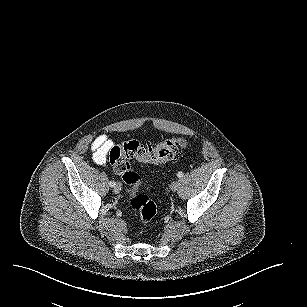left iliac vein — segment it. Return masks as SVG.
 Wrapping results in <instances>:
<instances>
[{"mask_svg":"<svg viewBox=\"0 0 307 307\" xmlns=\"http://www.w3.org/2000/svg\"><path fill=\"white\" fill-rule=\"evenodd\" d=\"M178 188H179V181H173L170 185V189L172 191H177Z\"/></svg>","mask_w":307,"mask_h":307,"instance_id":"1","label":"left iliac vein"}]
</instances>
